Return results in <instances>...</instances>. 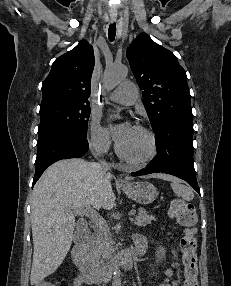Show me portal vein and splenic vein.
<instances>
[{
	"mask_svg": "<svg viewBox=\"0 0 231 286\" xmlns=\"http://www.w3.org/2000/svg\"><path fill=\"white\" fill-rule=\"evenodd\" d=\"M73 212L76 215H86L99 228L108 226L106 220L102 218L100 215H98L96 211L93 210L91 207L77 208V209H74ZM135 213H136V210L133 209L129 212V215L133 216L135 215Z\"/></svg>",
	"mask_w": 231,
	"mask_h": 286,
	"instance_id": "1",
	"label": "portal vein and splenic vein"
}]
</instances>
